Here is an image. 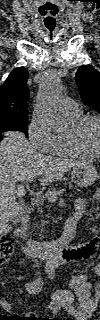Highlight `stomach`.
I'll use <instances>...</instances> for the list:
<instances>
[{
    "mask_svg": "<svg viewBox=\"0 0 100 320\" xmlns=\"http://www.w3.org/2000/svg\"><path fill=\"white\" fill-rule=\"evenodd\" d=\"M99 178V173L91 161H84L81 165L73 167L72 181L80 187H88Z\"/></svg>",
    "mask_w": 100,
    "mask_h": 320,
    "instance_id": "stomach-1",
    "label": "stomach"
}]
</instances>
